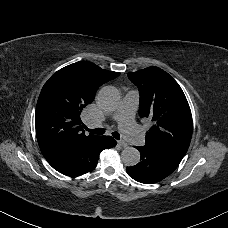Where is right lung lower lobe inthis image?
Returning a JSON list of instances; mask_svg holds the SVG:
<instances>
[{
    "label": "right lung lower lobe",
    "mask_w": 228,
    "mask_h": 228,
    "mask_svg": "<svg viewBox=\"0 0 228 228\" xmlns=\"http://www.w3.org/2000/svg\"><path fill=\"white\" fill-rule=\"evenodd\" d=\"M115 146L116 141L111 136H99L96 139L77 143L47 161L64 175H81L96 167L102 150Z\"/></svg>",
    "instance_id": "98d812e1"
}]
</instances>
